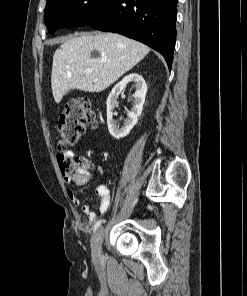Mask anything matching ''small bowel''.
Wrapping results in <instances>:
<instances>
[{"mask_svg":"<svg viewBox=\"0 0 247 296\" xmlns=\"http://www.w3.org/2000/svg\"><path fill=\"white\" fill-rule=\"evenodd\" d=\"M69 156H74V153L72 151L67 152ZM99 172H102L99 170ZM95 173L88 172V176H94ZM66 181L68 180V177L65 176ZM67 196L71 200V202L74 205H79L80 204V199L76 195L73 189L67 188L66 190ZM96 194L99 198V212L104 214L107 212L110 206V191L108 187L105 184H99L96 188ZM82 212L87 216L89 222H94L97 219V214L95 211H93L88 204H84L82 206Z\"/></svg>","mask_w":247,"mask_h":296,"instance_id":"small-bowel-1","label":"small bowel"}]
</instances>
